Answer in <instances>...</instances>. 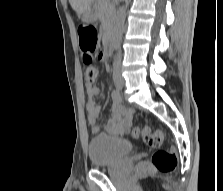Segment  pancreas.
Here are the masks:
<instances>
[{
	"instance_id": "pancreas-1",
	"label": "pancreas",
	"mask_w": 223,
	"mask_h": 191,
	"mask_svg": "<svg viewBox=\"0 0 223 191\" xmlns=\"http://www.w3.org/2000/svg\"><path fill=\"white\" fill-rule=\"evenodd\" d=\"M94 9L98 19L101 21L102 29L107 32L113 22L114 5L111 0H95Z\"/></svg>"
}]
</instances>
